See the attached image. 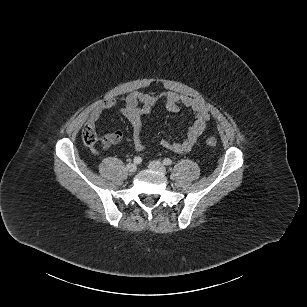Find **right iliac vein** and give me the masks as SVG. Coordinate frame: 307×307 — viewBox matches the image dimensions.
<instances>
[{"label": "right iliac vein", "instance_id": "63e3f726", "mask_svg": "<svg viewBox=\"0 0 307 307\" xmlns=\"http://www.w3.org/2000/svg\"><path fill=\"white\" fill-rule=\"evenodd\" d=\"M126 168H127V171L129 173H134L136 171V169H137V167H136V165L134 163L127 164Z\"/></svg>", "mask_w": 307, "mask_h": 307}]
</instances>
